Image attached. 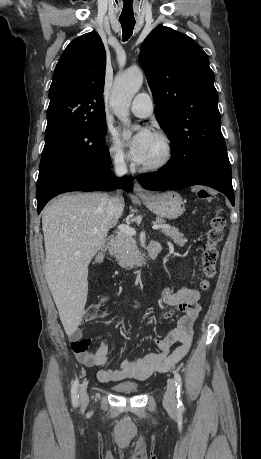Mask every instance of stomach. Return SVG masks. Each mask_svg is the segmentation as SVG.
<instances>
[{"mask_svg":"<svg viewBox=\"0 0 261 459\" xmlns=\"http://www.w3.org/2000/svg\"><path fill=\"white\" fill-rule=\"evenodd\" d=\"M142 201L158 217L166 219H176L185 210L182 197L175 191L148 194Z\"/></svg>","mask_w":261,"mask_h":459,"instance_id":"1","label":"stomach"}]
</instances>
